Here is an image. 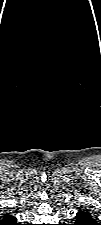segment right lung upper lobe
Here are the masks:
<instances>
[{
    "label": "right lung upper lobe",
    "mask_w": 101,
    "mask_h": 225,
    "mask_svg": "<svg viewBox=\"0 0 101 225\" xmlns=\"http://www.w3.org/2000/svg\"><path fill=\"white\" fill-rule=\"evenodd\" d=\"M16 220L13 216L6 214L3 218L2 225H8V223H14Z\"/></svg>",
    "instance_id": "obj_1"
}]
</instances>
